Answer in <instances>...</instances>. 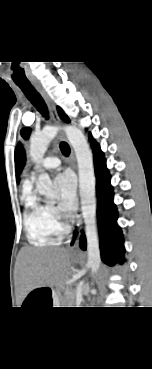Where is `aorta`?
<instances>
[{
  "mask_svg": "<svg viewBox=\"0 0 152 369\" xmlns=\"http://www.w3.org/2000/svg\"><path fill=\"white\" fill-rule=\"evenodd\" d=\"M60 130L57 126H45L40 133L30 139V156L34 162H39L49 145ZM67 139L73 147L78 163L79 190L81 197V211L85 224L87 240V265L92 274L97 273L100 267V249L96 227V198H95V175L93 169L92 153L83 132L75 126L63 127ZM37 179V191L48 198L57 196L49 175L39 170Z\"/></svg>",
  "mask_w": 152,
  "mask_h": 369,
  "instance_id": "762f6f07",
  "label": "aorta"
}]
</instances>
